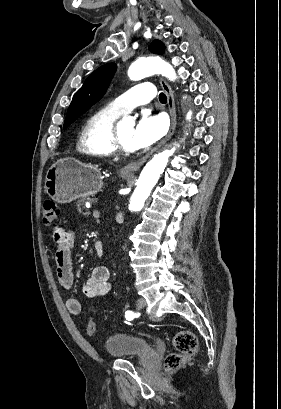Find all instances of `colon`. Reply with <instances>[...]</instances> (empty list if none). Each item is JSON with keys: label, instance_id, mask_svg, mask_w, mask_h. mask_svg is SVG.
Returning a JSON list of instances; mask_svg holds the SVG:
<instances>
[{"label": "colon", "instance_id": "colon-1", "mask_svg": "<svg viewBox=\"0 0 281 409\" xmlns=\"http://www.w3.org/2000/svg\"><path fill=\"white\" fill-rule=\"evenodd\" d=\"M43 222L46 225H50L60 218V207L53 200H45L43 202ZM87 332L92 335L95 332L94 324H89ZM173 348L177 351L167 357L165 365L169 368L181 367L187 359V356H191L197 351V340L195 335L188 330H182L174 334L172 339Z\"/></svg>", "mask_w": 281, "mask_h": 409}]
</instances>
